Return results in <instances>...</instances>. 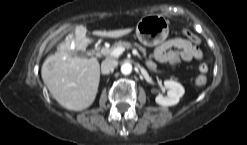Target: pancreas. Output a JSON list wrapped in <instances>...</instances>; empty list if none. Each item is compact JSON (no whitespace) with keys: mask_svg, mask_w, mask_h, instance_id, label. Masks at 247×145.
<instances>
[{"mask_svg":"<svg viewBox=\"0 0 247 145\" xmlns=\"http://www.w3.org/2000/svg\"><path fill=\"white\" fill-rule=\"evenodd\" d=\"M134 46H136L138 48V50L143 53L144 57L146 56V49L145 48H143L141 45H139L137 43H134ZM117 47H122L124 49H129V48L132 47V44L129 43V42L119 41V42L115 43L111 48H103L102 49V53L104 55H110L112 50H114Z\"/></svg>","mask_w":247,"mask_h":145,"instance_id":"pancreas-1","label":"pancreas"}]
</instances>
